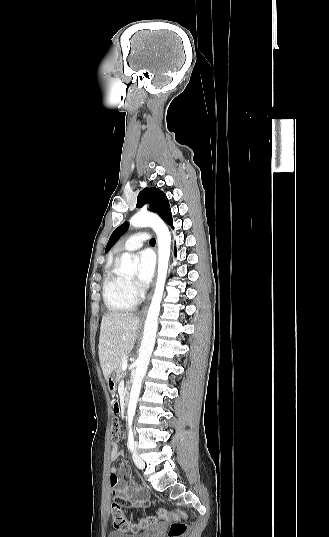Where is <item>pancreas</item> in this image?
Wrapping results in <instances>:
<instances>
[{
    "mask_svg": "<svg viewBox=\"0 0 329 537\" xmlns=\"http://www.w3.org/2000/svg\"><path fill=\"white\" fill-rule=\"evenodd\" d=\"M122 364H123V362L120 361V363H119V365H118V367L116 369V379H117V381H120L125 375L124 371L122 370Z\"/></svg>",
    "mask_w": 329,
    "mask_h": 537,
    "instance_id": "1",
    "label": "pancreas"
}]
</instances>
